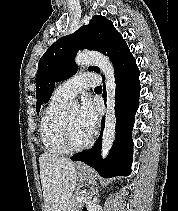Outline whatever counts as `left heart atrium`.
<instances>
[{
  "instance_id": "39dd6f15",
  "label": "left heart atrium",
  "mask_w": 178,
  "mask_h": 211,
  "mask_svg": "<svg viewBox=\"0 0 178 211\" xmlns=\"http://www.w3.org/2000/svg\"><path fill=\"white\" fill-rule=\"evenodd\" d=\"M79 123L90 134L93 133L97 125V110L89 99L82 102L79 114Z\"/></svg>"
}]
</instances>
